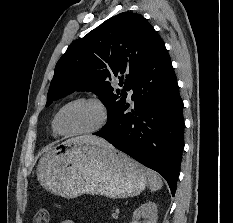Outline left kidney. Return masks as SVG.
<instances>
[{"instance_id":"5707ae66","label":"left kidney","mask_w":233,"mask_h":223,"mask_svg":"<svg viewBox=\"0 0 233 223\" xmlns=\"http://www.w3.org/2000/svg\"><path fill=\"white\" fill-rule=\"evenodd\" d=\"M157 205L154 201H147V203H141L140 207H137L133 211V221L132 223H139L138 219L144 217L143 223H156L157 221Z\"/></svg>"}]
</instances>
